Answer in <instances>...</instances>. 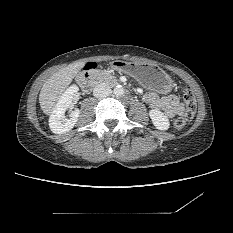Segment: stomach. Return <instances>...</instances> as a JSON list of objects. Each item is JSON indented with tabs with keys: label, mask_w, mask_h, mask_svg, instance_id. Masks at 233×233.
<instances>
[{
	"label": "stomach",
	"mask_w": 233,
	"mask_h": 233,
	"mask_svg": "<svg viewBox=\"0 0 233 233\" xmlns=\"http://www.w3.org/2000/svg\"><path fill=\"white\" fill-rule=\"evenodd\" d=\"M111 66L113 69L133 77L144 87L158 93L166 94L173 88L171 77L154 64L115 60Z\"/></svg>",
	"instance_id": "stomach-1"
}]
</instances>
